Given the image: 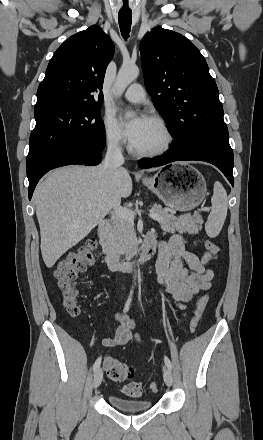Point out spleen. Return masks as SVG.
<instances>
[{
    "instance_id": "obj_1",
    "label": "spleen",
    "mask_w": 263,
    "mask_h": 440,
    "mask_svg": "<svg viewBox=\"0 0 263 440\" xmlns=\"http://www.w3.org/2000/svg\"><path fill=\"white\" fill-rule=\"evenodd\" d=\"M212 209L205 223V231L210 238L219 235L227 216L228 199L223 185L217 181L211 198Z\"/></svg>"
}]
</instances>
